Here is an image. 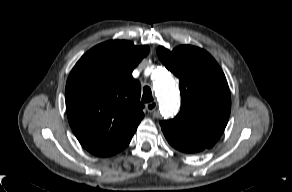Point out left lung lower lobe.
<instances>
[{
  "label": "left lung lower lobe",
  "instance_id": "obj_1",
  "mask_svg": "<svg viewBox=\"0 0 292 192\" xmlns=\"http://www.w3.org/2000/svg\"><path fill=\"white\" fill-rule=\"evenodd\" d=\"M165 137L171 146H173L175 149H177L181 152L196 153V152H200V151H203L204 149H206V148H203L200 146L192 145V144L174 139V138L169 137V136H165Z\"/></svg>",
  "mask_w": 292,
  "mask_h": 192
}]
</instances>
